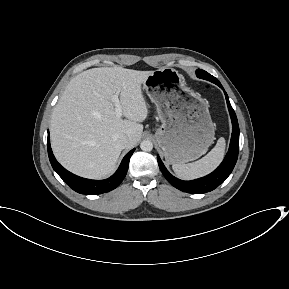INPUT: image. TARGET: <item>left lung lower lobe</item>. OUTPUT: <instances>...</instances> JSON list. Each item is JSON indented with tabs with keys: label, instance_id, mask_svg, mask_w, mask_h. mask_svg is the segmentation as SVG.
Returning a JSON list of instances; mask_svg holds the SVG:
<instances>
[{
	"label": "left lung lower lobe",
	"instance_id": "0a47b994",
	"mask_svg": "<svg viewBox=\"0 0 289 289\" xmlns=\"http://www.w3.org/2000/svg\"><path fill=\"white\" fill-rule=\"evenodd\" d=\"M219 87L223 89L222 85L219 84ZM224 90V89H223ZM229 113L232 120V136L230 141V147L228 150V153L223 160V162L220 164V166L213 171L211 174L196 179L192 181H182L180 179L175 178L172 176L165 166L163 165L161 159L159 156H157L159 168L165 178L169 181L170 184H172L175 188L192 194H199V193H206L209 191L214 190L216 187H218L222 182L225 181V179L231 174L237 158H238V151H239V125L237 121L236 114L229 102V98L227 93L224 91Z\"/></svg>",
	"mask_w": 289,
	"mask_h": 289
}]
</instances>
